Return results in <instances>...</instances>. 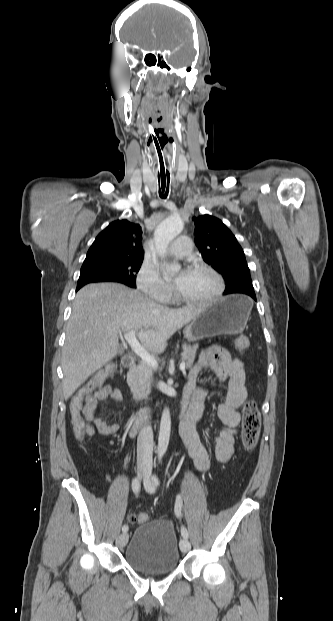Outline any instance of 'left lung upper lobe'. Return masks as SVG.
I'll use <instances>...</instances> for the list:
<instances>
[{
  "instance_id": "left-lung-upper-lobe-1",
  "label": "left lung upper lobe",
  "mask_w": 333,
  "mask_h": 621,
  "mask_svg": "<svg viewBox=\"0 0 333 621\" xmlns=\"http://www.w3.org/2000/svg\"><path fill=\"white\" fill-rule=\"evenodd\" d=\"M195 244L204 261L225 279L224 295L255 294L244 252L223 222L210 215L193 217Z\"/></svg>"
}]
</instances>
